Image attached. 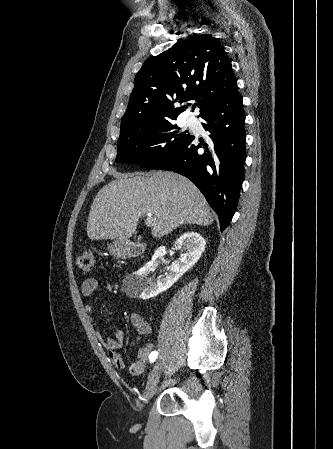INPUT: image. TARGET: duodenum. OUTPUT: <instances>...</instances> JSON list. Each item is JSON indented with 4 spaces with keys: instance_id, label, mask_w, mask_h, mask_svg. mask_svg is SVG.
I'll use <instances>...</instances> for the list:
<instances>
[{
    "instance_id": "410a0bca",
    "label": "duodenum",
    "mask_w": 333,
    "mask_h": 449,
    "mask_svg": "<svg viewBox=\"0 0 333 449\" xmlns=\"http://www.w3.org/2000/svg\"><path fill=\"white\" fill-rule=\"evenodd\" d=\"M143 251L141 245L131 242H123L118 247V254L120 256L139 257L142 255Z\"/></svg>"
}]
</instances>
